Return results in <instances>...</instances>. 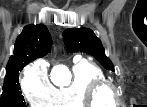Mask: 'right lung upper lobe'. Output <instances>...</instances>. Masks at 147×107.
I'll return each mask as SVG.
<instances>
[{
  "label": "right lung upper lobe",
  "instance_id": "right-lung-upper-lobe-1",
  "mask_svg": "<svg viewBox=\"0 0 147 107\" xmlns=\"http://www.w3.org/2000/svg\"><path fill=\"white\" fill-rule=\"evenodd\" d=\"M51 45V36L45 25L25 26L16 39L13 55L6 67V76L19 72L22 64L45 56Z\"/></svg>",
  "mask_w": 147,
  "mask_h": 107
}]
</instances>
